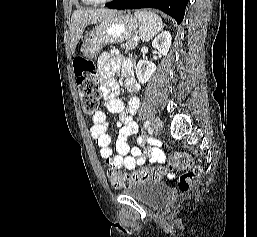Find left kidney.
I'll use <instances>...</instances> for the list:
<instances>
[{
  "instance_id": "5707ae66",
  "label": "left kidney",
  "mask_w": 257,
  "mask_h": 237,
  "mask_svg": "<svg viewBox=\"0 0 257 237\" xmlns=\"http://www.w3.org/2000/svg\"><path fill=\"white\" fill-rule=\"evenodd\" d=\"M172 37L169 31L160 33L152 42V46L162 55H167L171 46ZM156 70V65L151 61L140 60L136 67V75L140 83L149 81Z\"/></svg>"
}]
</instances>
